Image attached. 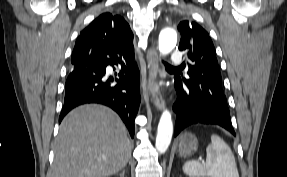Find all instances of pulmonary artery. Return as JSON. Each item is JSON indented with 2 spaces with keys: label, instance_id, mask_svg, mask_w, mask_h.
<instances>
[{
  "label": "pulmonary artery",
  "instance_id": "e3ab8cb5",
  "mask_svg": "<svg viewBox=\"0 0 287 177\" xmlns=\"http://www.w3.org/2000/svg\"><path fill=\"white\" fill-rule=\"evenodd\" d=\"M181 63H182V54L179 50L176 49L172 53L170 65L172 67H177L180 66Z\"/></svg>",
  "mask_w": 287,
  "mask_h": 177
}]
</instances>
